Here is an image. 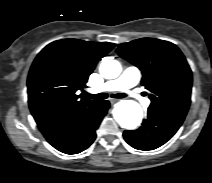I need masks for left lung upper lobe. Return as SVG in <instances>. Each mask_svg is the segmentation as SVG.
I'll use <instances>...</instances> for the list:
<instances>
[{
	"instance_id": "left-lung-upper-lobe-1",
	"label": "left lung upper lobe",
	"mask_w": 212,
	"mask_h": 183,
	"mask_svg": "<svg viewBox=\"0 0 212 183\" xmlns=\"http://www.w3.org/2000/svg\"><path fill=\"white\" fill-rule=\"evenodd\" d=\"M118 55L137 66L141 83L151 92V108L186 115L191 102L192 72L171 42L141 38L118 46Z\"/></svg>"
}]
</instances>
